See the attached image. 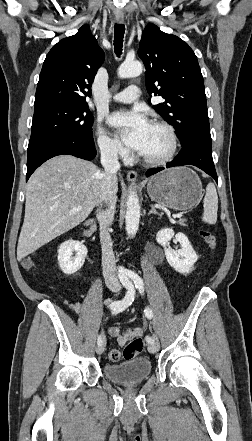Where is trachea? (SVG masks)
<instances>
[{
  "instance_id": "1",
  "label": "trachea",
  "mask_w": 252,
  "mask_h": 441,
  "mask_svg": "<svg viewBox=\"0 0 252 441\" xmlns=\"http://www.w3.org/2000/svg\"><path fill=\"white\" fill-rule=\"evenodd\" d=\"M114 30V50L116 55L120 56L122 54L125 26L123 24H115Z\"/></svg>"
}]
</instances>
